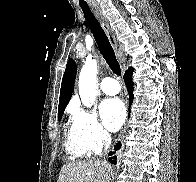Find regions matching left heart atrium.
Wrapping results in <instances>:
<instances>
[{
	"label": "left heart atrium",
	"instance_id": "left-heart-atrium-1",
	"mask_svg": "<svg viewBox=\"0 0 196 182\" xmlns=\"http://www.w3.org/2000/svg\"><path fill=\"white\" fill-rule=\"evenodd\" d=\"M100 114L106 128L116 131L125 121L126 110L119 98H107L100 104Z\"/></svg>",
	"mask_w": 196,
	"mask_h": 182
}]
</instances>
